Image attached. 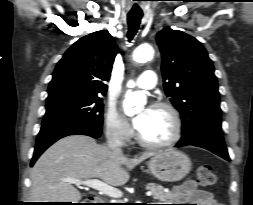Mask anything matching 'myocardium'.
<instances>
[{
  "label": "myocardium",
  "instance_id": "myocardium-1",
  "mask_svg": "<svg viewBox=\"0 0 253 205\" xmlns=\"http://www.w3.org/2000/svg\"><path fill=\"white\" fill-rule=\"evenodd\" d=\"M152 108L154 109H162L168 112V114L171 117L172 123H173V133L171 137L165 141L162 142H150L146 139H144L139 132L136 133V139L144 147L150 148V149H161L170 147L174 144H176L181 136L183 131V123L180 116L179 111L170 103L168 102H156L153 104Z\"/></svg>",
  "mask_w": 253,
  "mask_h": 205
}]
</instances>
